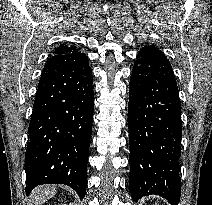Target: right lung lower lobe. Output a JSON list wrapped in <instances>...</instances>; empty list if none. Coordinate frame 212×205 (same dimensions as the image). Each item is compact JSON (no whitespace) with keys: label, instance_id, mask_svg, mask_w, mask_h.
I'll list each match as a JSON object with an SVG mask.
<instances>
[{"label":"right lung lower lobe","instance_id":"1","mask_svg":"<svg viewBox=\"0 0 212 205\" xmlns=\"http://www.w3.org/2000/svg\"><path fill=\"white\" fill-rule=\"evenodd\" d=\"M94 111L92 70L82 52L45 63L29 124L26 194L40 184H66L83 198Z\"/></svg>","mask_w":212,"mask_h":205}]
</instances>
